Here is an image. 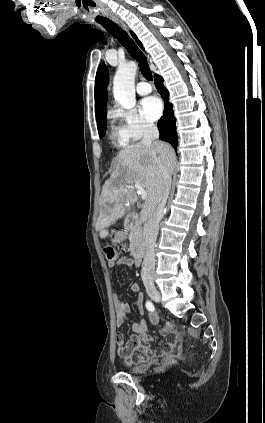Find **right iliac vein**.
Segmentation results:
<instances>
[{
	"mask_svg": "<svg viewBox=\"0 0 265 423\" xmlns=\"http://www.w3.org/2000/svg\"><path fill=\"white\" fill-rule=\"evenodd\" d=\"M144 285L148 295L151 297L152 300L159 302L161 299V295L159 291L156 289L154 284L150 280H145Z\"/></svg>",
	"mask_w": 265,
	"mask_h": 423,
	"instance_id": "1",
	"label": "right iliac vein"
}]
</instances>
